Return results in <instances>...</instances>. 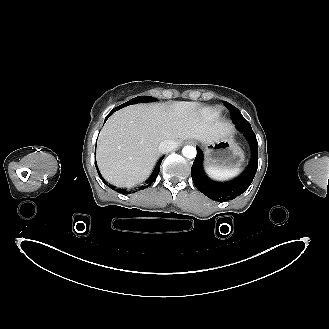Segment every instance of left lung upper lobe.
<instances>
[{
	"label": "left lung upper lobe",
	"mask_w": 329,
	"mask_h": 329,
	"mask_svg": "<svg viewBox=\"0 0 329 329\" xmlns=\"http://www.w3.org/2000/svg\"><path fill=\"white\" fill-rule=\"evenodd\" d=\"M226 107L229 109L230 113H231V119L235 124H240L242 122L247 121L242 114L240 113V111L233 105H231L230 103L224 101Z\"/></svg>",
	"instance_id": "5c2ea615"
}]
</instances>
